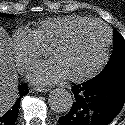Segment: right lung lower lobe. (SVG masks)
<instances>
[{
	"label": "right lung lower lobe",
	"instance_id": "98d812e1",
	"mask_svg": "<svg viewBox=\"0 0 125 125\" xmlns=\"http://www.w3.org/2000/svg\"><path fill=\"white\" fill-rule=\"evenodd\" d=\"M28 92L29 89L27 84H22L19 86L18 93L20 97L26 95ZM19 106V101H16L6 113L0 115V125H15L18 117Z\"/></svg>",
	"mask_w": 125,
	"mask_h": 125
}]
</instances>
